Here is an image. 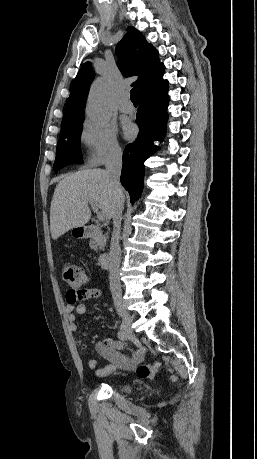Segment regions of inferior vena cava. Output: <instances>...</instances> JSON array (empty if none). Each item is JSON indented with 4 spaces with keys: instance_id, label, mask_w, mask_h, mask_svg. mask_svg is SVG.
Instances as JSON below:
<instances>
[{
    "instance_id": "602c4592",
    "label": "inferior vena cava",
    "mask_w": 257,
    "mask_h": 459,
    "mask_svg": "<svg viewBox=\"0 0 257 459\" xmlns=\"http://www.w3.org/2000/svg\"><path fill=\"white\" fill-rule=\"evenodd\" d=\"M122 169V151L117 148L110 152L106 161V173L109 183L114 194V209L112 213L113 233L111 238L109 252V283L112 298L115 306H122V291L120 285L119 268H120V228L121 215L123 210L124 196L120 184V174Z\"/></svg>"
}]
</instances>
